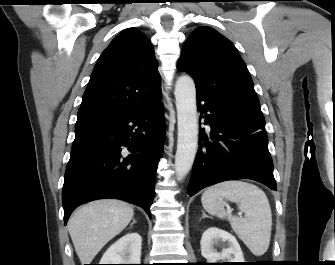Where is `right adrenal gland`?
<instances>
[{"label":"right adrenal gland","mask_w":335,"mask_h":265,"mask_svg":"<svg viewBox=\"0 0 335 265\" xmlns=\"http://www.w3.org/2000/svg\"><path fill=\"white\" fill-rule=\"evenodd\" d=\"M136 223V221L135 220H133V222L130 224V226L132 227L133 226V224H135Z\"/></svg>","instance_id":"1"}]
</instances>
